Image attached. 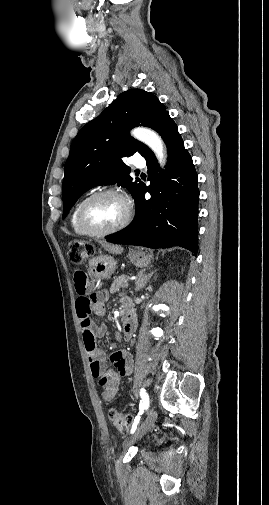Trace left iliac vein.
<instances>
[{
	"instance_id": "1",
	"label": "left iliac vein",
	"mask_w": 269,
	"mask_h": 505,
	"mask_svg": "<svg viewBox=\"0 0 269 505\" xmlns=\"http://www.w3.org/2000/svg\"><path fill=\"white\" fill-rule=\"evenodd\" d=\"M157 419V412L153 409L149 410L146 419L140 423L138 428L132 434V436L125 441L124 448H128L132 444H134L137 440L142 438L146 432L150 429V427L154 424Z\"/></svg>"
}]
</instances>
